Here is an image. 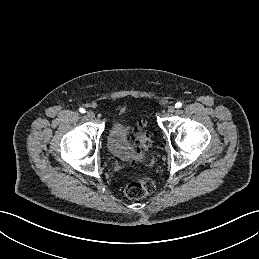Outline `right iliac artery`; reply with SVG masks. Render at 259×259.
<instances>
[{
    "instance_id": "1",
    "label": "right iliac artery",
    "mask_w": 259,
    "mask_h": 259,
    "mask_svg": "<svg viewBox=\"0 0 259 259\" xmlns=\"http://www.w3.org/2000/svg\"><path fill=\"white\" fill-rule=\"evenodd\" d=\"M79 111H80L81 113H85V109H84V108H80Z\"/></svg>"
}]
</instances>
